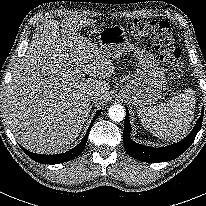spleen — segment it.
Returning a JSON list of instances; mask_svg holds the SVG:
<instances>
[{
  "label": "spleen",
  "instance_id": "3e777b00",
  "mask_svg": "<svg viewBox=\"0 0 206 206\" xmlns=\"http://www.w3.org/2000/svg\"><path fill=\"white\" fill-rule=\"evenodd\" d=\"M195 92L186 89L166 103L138 113L144 128L160 139L177 140L185 135L194 118Z\"/></svg>",
  "mask_w": 206,
  "mask_h": 206
}]
</instances>
